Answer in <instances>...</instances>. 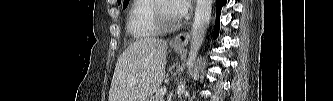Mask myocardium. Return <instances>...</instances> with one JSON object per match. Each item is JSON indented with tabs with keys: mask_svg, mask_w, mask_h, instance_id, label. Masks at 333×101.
Masks as SVG:
<instances>
[{
	"mask_svg": "<svg viewBox=\"0 0 333 101\" xmlns=\"http://www.w3.org/2000/svg\"><path fill=\"white\" fill-rule=\"evenodd\" d=\"M166 1H157L154 8V18L160 31H173L180 26V19H169L163 11V3Z\"/></svg>",
	"mask_w": 333,
	"mask_h": 101,
	"instance_id": "f54148a6",
	"label": "myocardium"
}]
</instances>
